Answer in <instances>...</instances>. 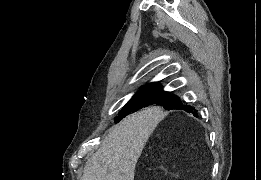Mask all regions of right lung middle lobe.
Instances as JSON below:
<instances>
[{
    "label": "right lung middle lobe",
    "mask_w": 261,
    "mask_h": 180,
    "mask_svg": "<svg viewBox=\"0 0 261 180\" xmlns=\"http://www.w3.org/2000/svg\"><path fill=\"white\" fill-rule=\"evenodd\" d=\"M180 103L177 96L163 91L159 84L149 85L142 88L131 98L115 118V122H119L124 116L148 105L157 104L163 106L166 110H171L175 109Z\"/></svg>",
    "instance_id": "dd1d6c3e"
}]
</instances>
